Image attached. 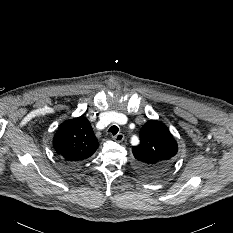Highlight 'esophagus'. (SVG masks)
I'll return each instance as SVG.
<instances>
[{
    "label": "esophagus",
    "instance_id": "esophagus-1",
    "mask_svg": "<svg viewBox=\"0 0 233 233\" xmlns=\"http://www.w3.org/2000/svg\"><path fill=\"white\" fill-rule=\"evenodd\" d=\"M116 142L120 143L124 140V135L122 133H118L112 137Z\"/></svg>",
    "mask_w": 233,
    "mask_h": 233
}]
</instances>
